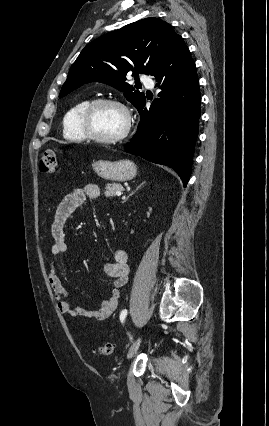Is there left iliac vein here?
Segmentation results:
<instances>
[{
  "label": "left iliac vein",
  "instance_id": "1",
  "mask_svg": "<svg viewBox=\"0 0 269 426\" xmlns=\"http://www.w3.org/2000/svg\"><path fill=\"white\" fill-rule=\"evenodd\" d=\"M141 340H142V337H139L133 344H132V346L130 347V349H129V351H128V354H127V358L128 359H130V358H132L135 354H136V352L138 351V349H139V347H140V344H141Z\"/></svg>",
  "mask_w": 269,
  "mask_h": 426
}]
</instances>
